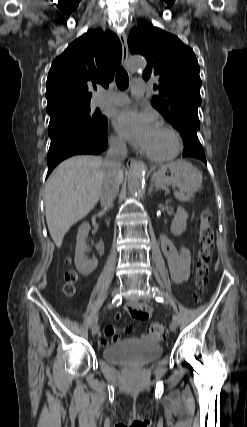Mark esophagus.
Instances as JSON below:
<instances>
[{
	"label": "esophagus",
	"instance_id": "obj_1",
	"mask_svg": "<svg viewBox=\"0 0 247 427\" xmlns=\"http://www.w3.org/2000/svg\"><path fill=\"white\" fill-rule=\"evenodd\" d=\"M118 37H119V40H120L121 45H122V65L124 66L125 69L128 70L129 51H128V45H127V37H126V34L124 32H119ZM136 163H137L136 159L129 158L126 162V165H127V167H132Z\"/></svg>",
	"mask_w": 247,
	"mask_h": 427
}]
</instances>
